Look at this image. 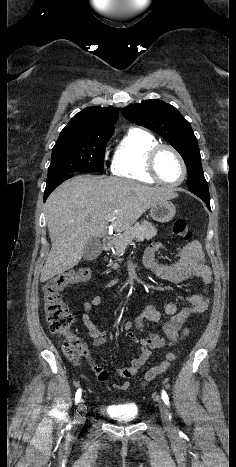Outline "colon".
<instances>
[{"mask_svg":"<svg viewBox=\"0 0 236 467\" xmlns=\"http://www.w3.org/2000/svg\"><path fill=\"white\" fill-rule=\"evenodd\" d=\"M173 231L185 243L192 240V231L189 229L187 222L182 218L174 221ZM90 276L91 270L87 267L67 270L52 277L45 283L43 288L44 310L48 327L53 334L64 337L63 352L74 363H78L87 355V349L78 336L70 333L73 315L61 299L60 292L70 285L88 280ZM187 334L188 330L185 329L183 336ZM175 358L174 352L167 353L165 359L145 375L143 384L145 385L150 382L156 375L164 373L171 366Z\"/></svg>","mask_w":236,"mask_h":467,"instance_id":"5ec220e1","label":"colon"}]
</instances>
